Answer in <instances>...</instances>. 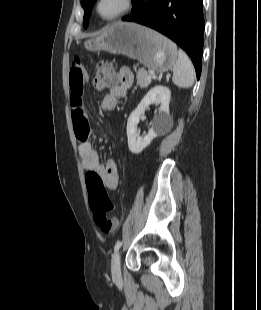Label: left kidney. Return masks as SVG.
Returning a JSON list of instances; mask_svg holds the SVG:
<instances>
[{"label": "left kidney", "instance_id": "1", "mask_svg": "<svg viewBox=\"0 0 261 310\" xmlns=\"http://www.w3.org/2000/svg\"><path fill=\"white\" fill-rule=\"evenodd\" d=\"M170 98V89L163 85H157L148 91L137 108L130 114L127 122V137L128 147L132 153L139 154L155 137L168 130L171 126L172 117L169 114ZM151 103L160 104L159 112L155 116L152 128L149 130L148 134L141 137L138 134L137 126L140 116Z\"/></svg>", "mask_w": 261, "mask_h": 310}]
</instances>
